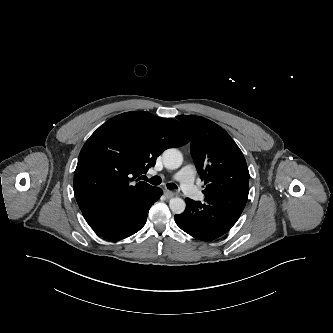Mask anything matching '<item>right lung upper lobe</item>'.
Returning a JSON list of instances; mask_svg holds the SVG:
<instances>
[{
	"mask_svg": "<svg viewBox=\"0 0 333 333\" xmlns=\"http://www.w3.org/2000/svg\"><path fill=\"white\" fill-rule=\"evenodd\" d=\"M186 128L174 119L149 112H126L100 126L81 149L74 173L80 209L94 204L129 203L154 187L139 181L167 148L189 142Z\"/></svg>",
	"mask_w": 333,
	"mask_h": 333,
	"instance_id": "1",
	"label": "right lung upper lobe"
}]
</instances>
